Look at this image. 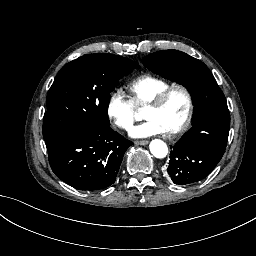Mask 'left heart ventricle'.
<instances>
[{
  "label": "left heart ventricle",
  "mask_w": 256,
  "mask_h": 256,
  "mask_svg": "<svg viewBox=\"0 0 256 256\" xmlns=\"http://www.w3.org/2000/svg\"><path fill=\"white\" fill-rule=\"evenodd\" d=\"M186 111V101L184 96L177 90L172 91L167 101L157 110H149L150 116H160L165 119L171 127L176 123Z\"/></svg>",
  "instance_id": "1"
}]
</instances>
